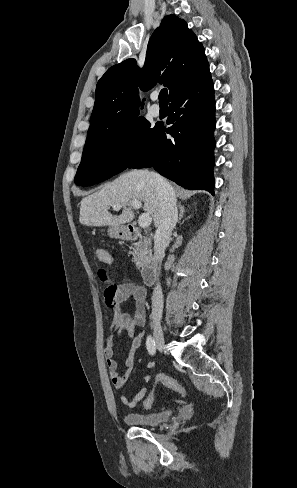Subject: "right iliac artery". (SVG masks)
Masks as SVG:
<instances>
[{"label":"right iliac artery","mask_w":297,"mask_h":488,"mask_svg":"<svg viewBox=\"0 0 297 488\" xmlns=\"http://www.w3.org/2000/svg\"><path fill=\"white\" fill-rule=\"evenodd\" d=\"M146 348L149 354L154 355L156 353L155 341L151 335H149L146 339Z\"/></svg>","instance_id":"obj_1"}]
</instances>
